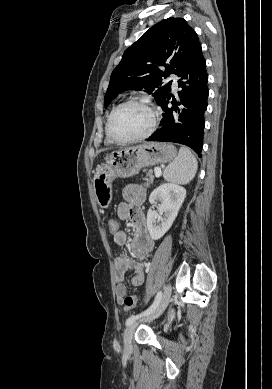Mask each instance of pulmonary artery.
<instances>
[{"mask_svg": "<svg viewBox=\"0 0 272 389\" xmlns=\"http://www.w3.org/2000/svg\"><path fill=\"white\" fill-rule=\"evenodd\" d=\"M170 79L173 81V88L176 89L177 88V76L175 74H171L170 75Z\"/></svg>", "mask_w": 272, "mask_h": 389, "instance_id": "e3ab8cb5", "label": "pulmonary artery"}]
</instances>
